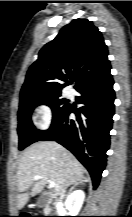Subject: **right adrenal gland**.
Masks as SVG:
<instances>
[{
	"label": "right adrenal gland",
	"instance_id": "right-adrenal-gland-1",
	"mask_svg": "<svg viewBox=\"0 0 132 217\" xmlns=\"http://www.w3.org/2000/svg\"><path fill=\"white\" fill-rule=\"evenodd\" d=\"M84 182H87V179H86L85 177H83L82 180L76 182V183L74 184V186L71 187L70 192H71L76 186H78L79 184H82V183H84Z\"/></svg>",
	"mask_w": 132,
	"mask_h": 217
}]
</instances>
